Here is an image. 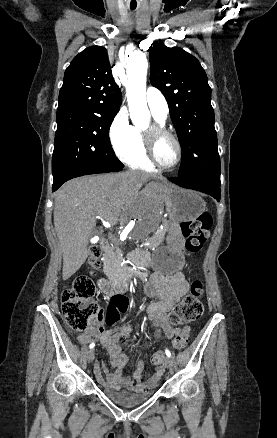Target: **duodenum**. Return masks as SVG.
I'll return each mask as SVG.
<instances>
[{
  "label": "duodenum",
  "mask_w": 277,
  "mask_h": 438,
  "mask_svg": "<svg viewBox=\"0 0 277 438\" xmlns=\"http://www.w3.org/2000/svg\"><path fill=\"white\" fill-rule=\"evenodd\" d=\"M100 246L103 250L108 248V243L106 241H101ZM127 262L132 266H149L151 263V256L146 251H135L132 252L127 258ZM130 275H124L116 282L101 281V290L108 295H114L118 293H123L129 288Z\"/></svg>",
  "instance_id": "obj_1"
}]
</instances>
